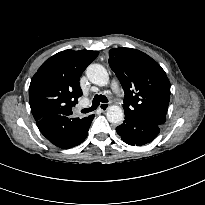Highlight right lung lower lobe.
<instances>
[{
  "label": "right lung lower lobe",
  "instance_id": "right-lung-lower-lobe-1",
  "mask_svg": "<svg viewBox=\"0 0 205 205\" xmlns=\"http://www.w3.org/2000/svg\"><path fill=\"white\" fill-rule=\"evenodd\" d=\"M94 115L85 117L75 129H70L72 119L68 116L50 114L36 121L40 132L54 145L71 148L82 143L87 135Z\"/></svg>",
  "mask_w": 205,
  "mask_h": 205
}]
</instances>
